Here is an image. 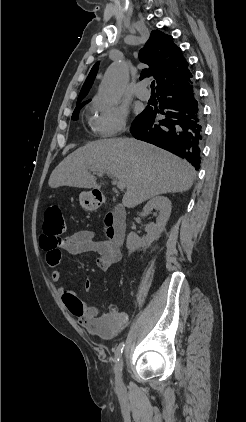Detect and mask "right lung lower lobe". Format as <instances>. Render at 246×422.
<instances>
[{
	"instance_id": "right-lung-lower-lobe-1",
	"label": "right lung lower lobe",
	"mask_w": 246,
	"mask_h": 422,
	"mask_svg": "<svg viewBox=\"0 0 246 422\" xmlns=\"http://www.w3.org/2000/svg\"><path fill=\"white\" fill-rule=\"evenodd\" d=\"M160 110L146 108L132 123L131 134L185 158L200 168L203 121L193 76L157 91ZM159 114L162 120L155 122Z\"/></svg>"
}]
</instances>
